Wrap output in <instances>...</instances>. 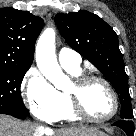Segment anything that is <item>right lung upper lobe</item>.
Instances as JSON below:
<instances>
[{"instance_id": "cb5924a9", "label": "right lung upper lobe", "mask_w": 136, "mask_h": 136, "mask_svg": "<svg viewBox=\"0 0 136 136\" xmlns=\"http://www.w3.org/2000/svg\"><path fill=\"white\" fill-rule=\"evenodd\" d=\"M43 19L10 7L0 9V67L29 68Z\"/></svg>"}]
</instances>
